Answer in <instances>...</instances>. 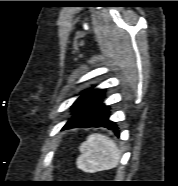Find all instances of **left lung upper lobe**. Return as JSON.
<instances>
[{"label": "left lung upper lobe", "mask_w": 178, "mask_h": 186, "mask_svg": "<svg viewBox=\"0 0 178 186\" xmlns=\"http://www.w3.org/2000/svg\"><path fill=\"white\" fill-rule=\"evenodd\" d=\"M104 97L105 96H104L103 89L91 88L85 90L83 94L73 104L72 106L73 116L68 120L66 125L72 122L75 118H77L82 113L86 112L87 110L99 104L101 99H103Z\"/></svg>", "instance_id": "left-lung-upper-lobe-1"}]
</instances>
